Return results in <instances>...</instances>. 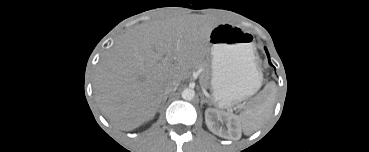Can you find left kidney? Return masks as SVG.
Returning <instances> with one entry per match:
<instances>
[{
	"instance_id": "left-kidney-1",
	"label": "left kidney",
	"mask_w": 369,
	"mask_h": 152,
	"mask_svg": "<svg viewBox=\"0 0 369 152\" xmlns=\"http://www.w3.org/2000/svg\"><path fill=\"white\" fill-rule=\"evenodd\" d=\"M215 118H217V120L220 122L226 121L227 130H224L222 129V127H219L215 123ZM205 122H206L208 129L212 133L220 137L234 140V139L239 138L240 136L241 128H240V125L237 119L233 115L218 111L213 108H207L205 111Z\"/></svg>"
}]
</instances>
